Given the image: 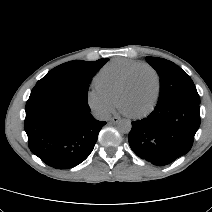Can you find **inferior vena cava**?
Here are the masks:
<instances>
[{"mask_svg": "<svg viewBox=\"0 0 212 212\" xmlns=\"http://www.w3.org/2000/svg\"><path fill=\"white\" fill-rule=\"evenodd\" d=\"M93 114L96 119L101 121H106L110 118V113L106 110H95Z\"/></svg>", "mask_w": 212, "mask_h": 212, "instance_id": "inferior-vena-cava-1", "label": "inferior vena cava"}]
</instances>
